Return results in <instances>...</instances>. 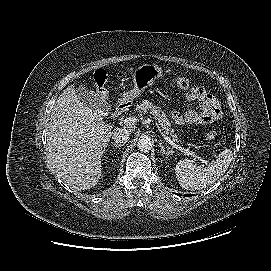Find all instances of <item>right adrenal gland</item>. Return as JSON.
Returning <instances> with one entry per match:
<instances>
[{
  "label": "right adrenal gland",
  "mask_w": 271,
  "mask_h": 271,
  "mask_svg": "<svg viewBox=\"0 0 271 271\" xmlns=\"http://www.w3.org/2000/svg\"><path fill=\"white\" fill-rule=\"evenodd\" d=\"M111 145H113L116 148H119V147L123 146L122 144H117V143H114V142H111Z\"/></svg>",
  "instance_id": "obj_1"
}]
</instances>
